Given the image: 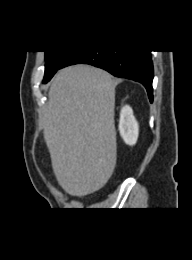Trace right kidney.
I'll return each instance as SVG.
<instances>
[{"mask_svg":"<svg viewBox=\"0 0 192 260\" xmlns=\"http://www.w3.org/2000/svg\"><path fill=\"white\" fill-rule=\"evenodd\" d=\"M119 132L127 145L136 144L139 134V126L133 115L131 107L124 106L120 112Z\"/></svg>","mask_w":192,"mask_h":260,"instance_id":"right-kidney-1","label":"right kidney"}]
</instances>
